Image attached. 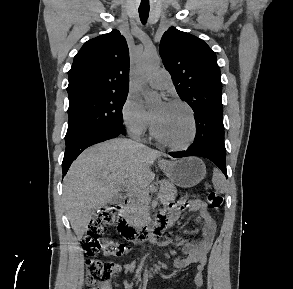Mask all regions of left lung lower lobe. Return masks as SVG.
<instances>
[{"label": "left lung lower lobe", "instance_id": "0a47b994", "mask_svg": "<svg viewBox=\"0 0 293 289\" xmlns=\"http://www.w3.org/2000/svg\"><path fill=\"white\" fill-rule=\"evenodd\" d=\"M196 137L186 150L170 152L174 158L200 156L215 163L227 177L226 149L224 145L223 116L214 113H203L195 116Z\"/></svg>", "mask_w": 293, "mask_h": 289}]
</instances>
